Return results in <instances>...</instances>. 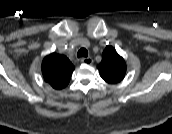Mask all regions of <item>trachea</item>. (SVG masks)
<instances>
[{
	"mask_svg": "<svg viewBox=\"0 0 172 134\" xmlns=\"http://www.w3.org/2000/svg\"><path fill=\"white\" fill-rule=\"evenodd\" d=\"M77 56H78V57H85V58H87V56H88V51H87V49L81 48V49L78 51Z\"/></svg>",
	"mask_w": 172,
	"mask_h": 134,
	"instance_id": "obj_1",
	"label": "trachea"
}]
</instances>
